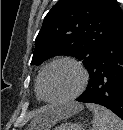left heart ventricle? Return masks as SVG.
<instances>
[{"instance_id":"1","label":"left heart ventricle","mask_w":123,"mask_h":130,"mask_svg":"<svg viewBox=\"0 0 123 130\" xmlns=\"http://www.w3.org/2000/svg\"><path fill=\"white\" fill-rule=\"evenodd\" d=\"M81 74L70 63H58L51 66L44 76V92L50 99H61L73 94L79 87Z\"/></svg>"}]
</instances>
